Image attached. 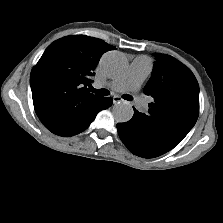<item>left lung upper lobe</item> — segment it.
<instances>
[{"label": "left lung upper lobe", "instance_id": "left-lung-upper-lobe-1", "mask_svg": "<svg viewBox=\"0 0 223 223\" xmlns=\"http://www.w3.org/2000/svg\"><path fill=\"white\" fill-rule=\"evenodd\" d=\"M144 93L153 97L148 114L137 117L153 131L182 141L199 115V85L193 73L175 58L156 54Z\"/></svg>", "mask_w": 223, "mask_h": 223}]
</instances>
